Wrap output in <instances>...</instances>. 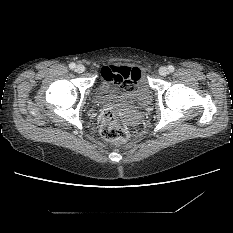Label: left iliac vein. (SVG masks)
Instances as JSON below:
<instances>
[{"label":"left iliac vein","instance_id":"1","mask_svg":"<svg viewBox=\"0 0 233 233\" xmlns=\"http://www.w3.org/2000/svg\"><path fill=\"white\" fill-rule=\"evenodd\" d=\"M158 72L161 76H166L169 73L167 67L165 66L160 67Z\"/></svg>","mask_w":233,"mask_h":233}]
</instances>
